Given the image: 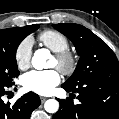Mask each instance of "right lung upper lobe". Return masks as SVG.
I'll list each match as a JSON object with an SVG mask.
<instances>
[{"label":"right lung upper lobe","mask_w":119,"mask_h":119,"mask_svg":"<svg viewBox=\"0 0 119 119\" xmlns=\"http://www.w3.org/2000/svg\"><path fill=\"white\" fill-rule=\"evenodd\" d=\"M29 26H30V25H29ZM29 26L18 27V28L3 29V30H0V33H7V32L22 33V32H24V31H26Z\"/></svg>","instance_id":"cb5924a9"}]
</instances>
